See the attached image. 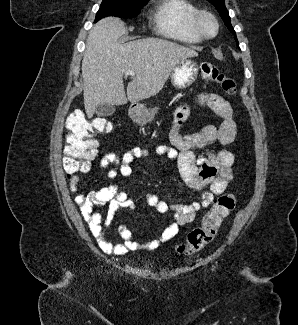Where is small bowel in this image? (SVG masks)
<instances>
[{
	"mask_svg": "<svg viewBox=\"0 0 298 325\" xmlns=\"http://www.w3.org/2000/svg\"><path fill=\"white\" fill-rule=\"evenodd\" d=\"M201 105L208 107L222 119L219 126L206 125L199 132L193 134H181L180 127L189 116L187 106L179 107L174 116L173 124L169 132L171 146L160 145L155 153L176 160L178 170L185 184L195 190L205 189L201 198L191 204H168L158 199L155 194L147 195V202L159 213L172 211L174 221L161 233V235L147 242L135 239L131 230L125 226L118 227L121 243L113 244L106 238V228L113 222L115 216L123 208L135 210V202L123 192L120 185L113 181L107 186L89 193H77L75 202L80 212L88 223L99 248L114 255H124L129 251L145 248L154 250L162 243L175 237L181 226L191 223L196 218L197 212L209 206L214 198L222 194L228 184L233 180L232 166L234 155L227 149H219L209 152L205 156L198 157L193 152L194 148H202L218 142L223 146L232 143L237 134V125L233 118V110L230 103L222 96L205 93L198 96ZM149 156V150L144 147H135L123 154L110 152L101 157L98 163L100 169H107L110 179L118 175L127 178H135L131 163L136 159H144ZM80 185L79 178L70 180V190L76 193ZM107 205V211L102 214L96 207Z\"/></svg>",
	"mask_w": 298,
	"mask_h": 325,
	"instance_id": "obj_1",
	"label": "small bowel"
}]
</instances>
